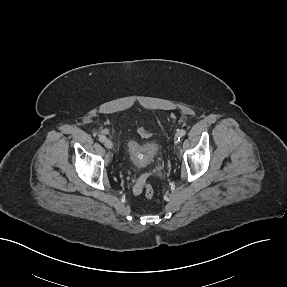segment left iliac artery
<instances>
[{
  "instance_id": "1",
  "label": "left iliac artery",
  "mask_w": 287,
  "mask_h": 287,
  "mask_svg": "<svg viewBox=\"0 0 287 287\" xmlns=\"http://www.w3.org/2000/svg\"><path fill=\"white\" fill-rule=\"evenodd\" d=\"M186 134L185 130H179L176 134V136L178 137V141Z\"/></svg>"
}]
</instances>
